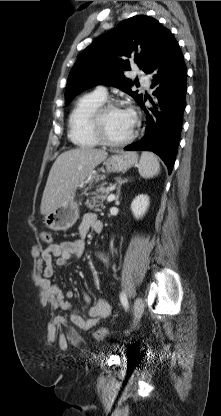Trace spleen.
I'll return each instance as SVG.
<instances>
[{"mask_svg": "<svg viewBox=\"0 0 221 416\" xmlns=\"http://www.w3.org/2000/svg\"><path fill=\"white\" fill-rule=\"evenodd\" d=\"M140 176L143 178H152L159 174L160 164L157 157L148 151H143L139 164L137 165Z\"/></svg>", "mask_w": 221, "mask_h": 416, "instance_id": "1", "label": "spleen"}]
</instances>
